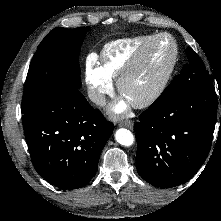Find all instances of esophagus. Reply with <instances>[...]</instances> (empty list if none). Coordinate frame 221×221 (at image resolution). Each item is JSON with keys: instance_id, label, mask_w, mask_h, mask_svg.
<instances>
[{"instance_id": "1", "label": "esophagus", "mask_w": 221, "mask_h": 221, "mask_svg": "<svg viewBox=\"0 0 221 221\" xmlns=\"http://www.w3.org/2000/svg\"><path fill=\"white\" fill-rule=\"evenodd\" d=\"M119 126H124V127L129 128V129H132L133 128V122L131 120L121 121L119 123Z\"/></svg>"}]
</instances>
